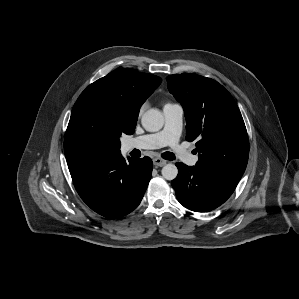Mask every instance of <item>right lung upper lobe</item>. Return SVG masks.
Returning a JSON list of instances; mask_svg holds the SVG:
<instances>
[{
  "label": "right lung upper lobe",
  "mask_w": 299,
  "mask_h": 299,
  "mask_svg": "<svg viewBox=\"0 0 299 299\" xmlns=\"http://www.w3.org/2000/svg\"><path fill=\"white\" fill-rule=\"evenodd\" d=\"M160 83L158 76L121 68L90 84L80 97L94 95L115 103L124 122L134 132L141 105Z\"/></svg>",
  "instance_id": "obj_1"
}]
</instances>
